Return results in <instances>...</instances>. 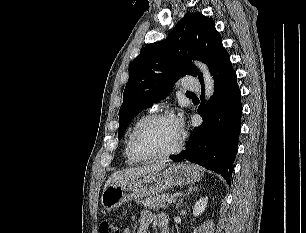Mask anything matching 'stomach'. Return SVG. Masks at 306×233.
I'll use <instances>...</instances> for the list:
<instances>
[{
    "label": "stomach",
    "mask_w": 306,
    "mask_h": 233,
    "mask_svg": "<svg viewBox=\"0 0 306 233\" xmlns=\"http://www.w3.org/2000/svg\"><path fill=\"white\" fill-rule=\"evenodd\" d=\"M202 176L203 170L199 166L184 163L174 164L165 170L111 184L103 191L101 204L105 210L112 211L125 202L157 195L175 186L194 183Z\"/></svg>",
    "instance_id": "stomach-1"
}]
</instances>
